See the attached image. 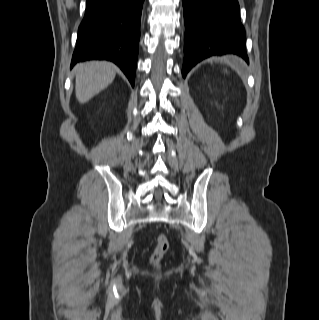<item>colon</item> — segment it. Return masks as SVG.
Segmentation results:
<instances>
[{
    "label": "colon",
    "mask_w": 319,
    "mask_h": 320,
    "mask_svg": "<svg viewBox=\"0 0 319 320\" xmlns=\"http://www.w3.org/2000/svg\"><path fill=\"white\" fill-rule=\"evenodd\" d=\"M169 248V240L165 234H159L156 237V246L152 255V262L157 264L164 253Z\"/></svg>",
    "instance_id": "1"
}]
</instances>
